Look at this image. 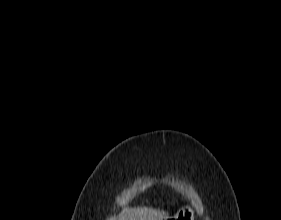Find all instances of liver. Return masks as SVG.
<instances>
[{"mask_svg": "<svg viewBox=\"0 0 281 220\" xmlns=\"http://www.w3.org/2000/svg\"><path fill=\"white\" fill-rule=\"evenodd\" d=\"M168 218V213L151 207H134L123 210L119 220H163Z\"/></svg>", "mask_w": 281, "mask_h": 220, "instance_id": "6515ba94", "label": "liver"}]
</instances>
